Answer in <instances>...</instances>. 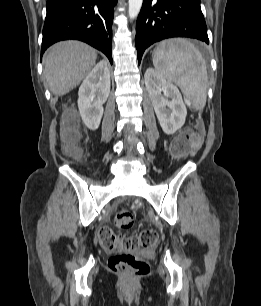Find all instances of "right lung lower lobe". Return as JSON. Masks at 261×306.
<instances>
[{
  "label": "right lung lower lobe",
  "mask_w": 261,
  "mask_h": 306,
  "mask_svg": "<svg viewBox=\"0 0 261 306\" xmlns=\"http://www.w3.org/2000/svg\"><path fill=\"white\" fill-rule=\"evenodd\" d=\"M117 0H47L41 54L60 40L77 39L112 63L113 7Z\"/></svg>",
  "instance_id": "obj_1"
}]
</instances>
